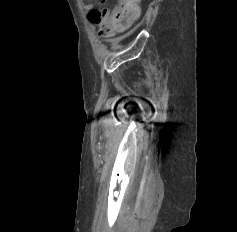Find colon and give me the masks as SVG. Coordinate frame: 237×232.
<instances>
[{"instance_id": "colon-1", "label": "colon", "mask_w": 237, "mask_h": 232, "mask_svg": "<svg viewBox=\"0 0 237 232\" xmlns=\"http://www.w3.org/2000/svg\"><path fill=\"white\" fill-rule=\"evenodd\" d=\"M140 0H119L113 9H94L89 19L98 25L100 36L111 38L115 34L128 30L139 16Z\"/></svg>"}]
</instances>
